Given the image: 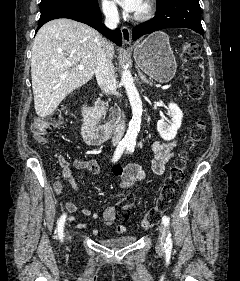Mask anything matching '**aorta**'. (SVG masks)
<instances>
[{
  "instance_id": "1",
  "label": "aorta",
  "mask_w": 240,
  "mask_h": 281,
  "mask_svg": "<svg viewBox=\"0 0 240 281\" xmlns=\"http://www.w3.org/2000/svg\"><path fill=\"white\" fill-rule=\"evenodd\" d=\"M121 82L125 87L132 108V119L124 139L128 143H135L140 131L142 101L134 84V79L128 69L123 70Z\"/></svg>"
}]
</instances>
